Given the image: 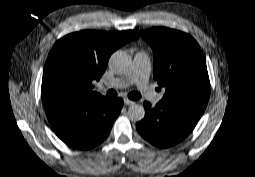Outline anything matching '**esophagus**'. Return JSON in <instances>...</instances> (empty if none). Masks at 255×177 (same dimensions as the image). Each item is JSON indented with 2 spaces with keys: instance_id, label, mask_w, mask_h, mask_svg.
Returning a JSON list of instances; mask_svg holds the SVG:
<instances>
[{
  "instance_id": "esophagus-1",
  "label": "esophagus",
  "mask_w": 255,
  "mask_h": 177,
  "mask_svg": "<svg viewBox=\"0 0 255 177\" xmlns=\"http://www.w3.org/2000/svg\"><path fill=\"white\" fill-rule=\"evenodd\" d=\"M124 102H125L126 105L135 103L134 101H132V100H130V99H128V98H126V99L124 100Z\"/></svg>"
}]
</instances>
